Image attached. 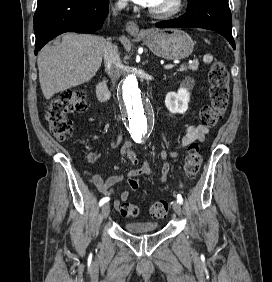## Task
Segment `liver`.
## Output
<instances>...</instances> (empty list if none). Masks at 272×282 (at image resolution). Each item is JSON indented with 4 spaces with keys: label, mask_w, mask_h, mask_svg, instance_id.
Masks as SVG:
<instances>
[{
    "label": "liver",
    "mask_w": 272,
    "mask_h": 282,
    "mask_svg": "<svg viewBox=\"0 0 272 282\" xmlns=\"http://www.w3.org/2000/svg\"><path fill=\"white\" fill-rule=\"evenodd\" d=\"M105 43L101 36L65 34L43 47L37 65L44 97L92 79L101 66Z\"/></svg>",
    "instance_id": "1"
}]
</instances>
